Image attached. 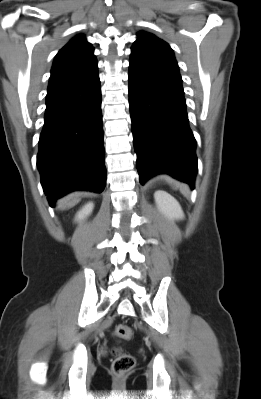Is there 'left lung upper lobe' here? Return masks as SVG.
<instances>
[{"instance_id":"1","label":"left lung upper lobe","mask_w":261,"mask_h":399,"mask_svg":"<svg viewBox=\"0 0 261 399\" xmlns=\"http://www.w3.org/2000/svg\"><path fill=\"white\" fill-rule=\"evenodd\" d=\"M130 66L181 79L173 50L155 35L140 31L132 46Z\"/></svg>"}]
</instances>
